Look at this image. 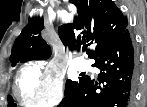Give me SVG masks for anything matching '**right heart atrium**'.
Here are the masks:
<instances>
[{"label":"right heart atrium","mask_w":147,"mask_h":107,"mask_svg":"<svg viewBox=\"0 0 147 107\" xmlns=\"http://www.w3.org/2000/svg\"><path fill=\"white\" fill-rule=\"evenodd\" d=\"M17 97L28 106H53L63 98L61 73L54 65L29 63L17 79Z\"/></svg>","instance_id":"right-heart-atrium-1"}]
</instances>
